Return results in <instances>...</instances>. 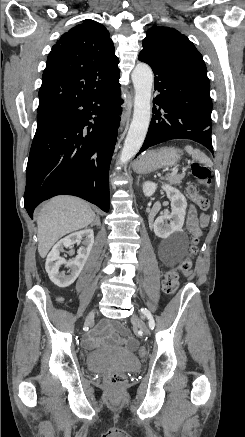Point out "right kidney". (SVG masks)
I'll return each instance as SVG.
<instances>
[{
	"label": "right kidney",
	"mask_w": 245,
	"mask_h": 437,
	"mask_svg": "<svg viewBox=\"0 0 245 437\" xmlns=\"http://www.w3.org/2000/svg\"><path fill=\"white\" fill-rule=\"evenodd\" d=\"M83 244L78 250V255L72 260H65L60 257V252L64 247H72L75 243ZM94 244V232L92 229H85L74 232L57 242L48 254L45 269L50 280L58 287L65 288L70 286L81 273ZM65 264L69 268L68 274L60 271L61 265Z\"/></svg>",
	"instance_id": "obj_1"
}]
</instances>
